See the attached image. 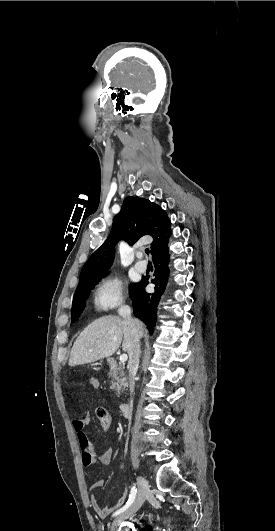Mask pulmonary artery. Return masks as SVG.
I'll return each instance as SVG.
<instances>
[{"instance_id":"obj_1","label":"pulmonary artery","mask_w":275,"mask_h":531,"mask_svg":"<svg viewBox=\"0 0 275 531\" xmlns=\"http://www.w3.org/2000/svg\"><path fill=\"white\" fill-rule=\"evenodd\" d=\"M137 256L140 259L135 263V269L139 272H145L147 270V263L143 260L145 252L143 248H140L137 252Z\"/></svg>"}]
</instances>
